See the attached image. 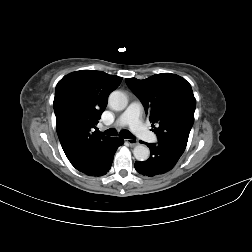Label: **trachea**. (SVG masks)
<instances>
[{
  "label": "trachea",
  "mask_w": 252,
  "mask_h": 252,
  "mask_svg": "<svg viewBox=\"0 0 252 252\" xmlns=\"http://www.w3.org/2000/svg\"><path fill=\"white\" fill-rule=\"evenodd\" d=\"M103 134L107 135V136H116L117 132L114 129H108V130L104 131ZM119 136L122 138H125V139H134V136L126 130L120 131Z\"/></svg>",
  "instance_id": "3493384b"
}]
</instances>
